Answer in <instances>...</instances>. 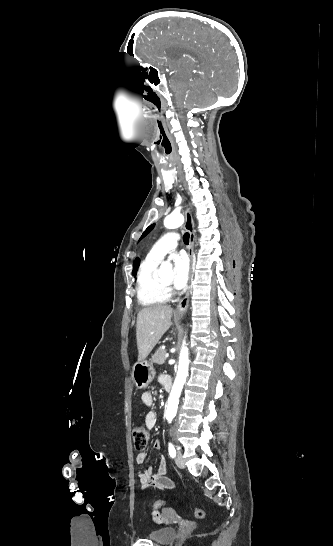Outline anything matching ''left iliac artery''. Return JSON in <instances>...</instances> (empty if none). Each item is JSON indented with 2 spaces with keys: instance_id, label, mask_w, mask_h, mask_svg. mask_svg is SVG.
I'll use <instances>...</instances> for the list:
<instances>
[{
  "instance_id": "44dca946",
  "label": "left iliac artery",
  "mask_w": 333,
  "mask_h": 546,
  "mask_svg": "<svg viewBox=\"0 0 333 546\" xmlns=\"http://www.w3.org/2000/svg\"><path fill=\"white\" fill-rule=\"evenodd\" d=\"M168 451H169L170 457L174 458L176 456L175 447L171 442L168 444Z\"/></svg>"
}]
</instances>
